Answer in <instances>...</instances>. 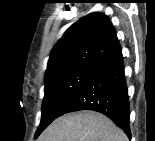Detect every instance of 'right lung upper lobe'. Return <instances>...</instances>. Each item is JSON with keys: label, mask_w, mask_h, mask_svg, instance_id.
Returning a JSON list of instances; mask_svg holds the SVG:
<instances>
[{"label": "right lung upper lobe", "mask_w": 155, "mask_h": 141, "mask_svg": "<svg viewBox=\"0 0 155 141\" xmlns=\"http://www.w3.org/2000/svg\"><path fill=\"white\" fill-rule=\"evenodd\" d=\"M117 44L108 17L88 14L74 23L52 49L45 79L75 68L95 69Z\"/></svg>", "instance_id": "right-lung-upper-lobe-1"}]
</instances>
